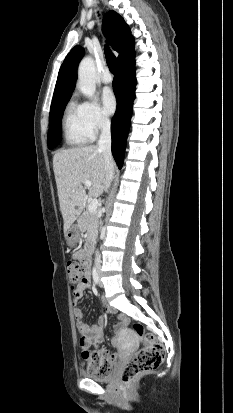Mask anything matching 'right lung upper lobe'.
Here are the masks:
<instances>
[{"label": "right lung upper lobe", "mask_w": 233, "mask_h": 413, "mask_svg": "<svg viewBox=\"0 0 233 413\" xmlns=\"http://www.w3.org/2000/svg\"><path fill=\"white\" fill-rule=\"evenodd\" d=\"M103 31L112 48L119 53L117 62L134 51V39L124 19L114 11H109L103 18ZM84 50L75 46L62 63L52 104L70 98L77 79L76 67L83 57Z\"/></svg>", "instance_id": "obj_1"}]
</instances>
